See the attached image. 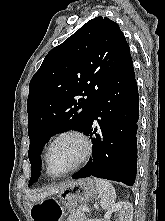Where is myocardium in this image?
Masks as SVG:
<instances>
[{
    "instance_id": "1",
    "label": "myocardium",
    "mask_w": 165,
    "mask_h": 221,
    "mask_svg": "<svg viewBox=\"0 0 165 221\" xmlns=\"http://www.w3.org/2000/svg\"><path fill=\"white\" fill-rule=\"evenodd\" d=\"M66 136H73L76 137L82 144V154L78 161L69 169L62 171V172H55L52 170L50 163H49V152L53 144L58 141L59 139L66 137ZM92 151V144L89 139V137L82 131L76 128H70V129H65L59 133H57L48 143L45 153H44V160H45V166L47 172L55 177H60V176H65L68 174H71L78 170L85 162L86 160L90 157Z\"/></svg>"
}]
</instances>
